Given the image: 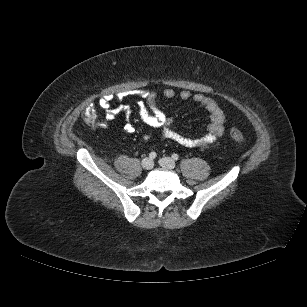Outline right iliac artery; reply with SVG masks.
I'll use <instances>...</instances> for the list:
<instances>
[{
	"instance_id": "right-iliac-artery-1",
	"label": "right iliac artery",
	"mask_w": 307,
	"mask_h": 307,
	"mask_svg": "<svg viewBox=\"0 0 307 307\" xmlns=\"http://www.w3.org/2000/svg\"><path fill=\"white\" fill-rule=\"evenodd\" d=\"M156 156H157L156 152H151V153L149 154V158H150V159H155Z\"/></svg>"
}]
</instances>
